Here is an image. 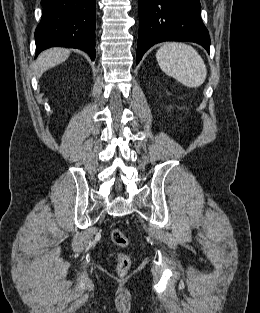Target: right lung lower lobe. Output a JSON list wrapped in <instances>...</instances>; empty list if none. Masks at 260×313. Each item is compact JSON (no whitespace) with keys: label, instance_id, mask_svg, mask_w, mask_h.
<instances>
[{"label":"right lung lower lobe","instance_id":"right-lung-lower-lobe-1","mask_svg":"<svg viewBox=\"0 0 260 313\" xmlns=\"http://www.w3.org/2000/svg\"><path fill=\"white\" fill-rule=\"evenodd\" d=\"M35 31L36 57L53 46L84 50L95 59V0H41Z\"/></svg>","mask_w":260,"mask_h":313}]
</instances>
